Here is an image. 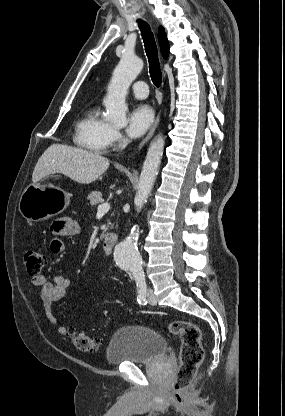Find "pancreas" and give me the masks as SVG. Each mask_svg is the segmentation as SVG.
<instances>
[{
  "mask_svg": "<svg viewBox=\"0 0 285 416\" xmlns=\"http://www.w3.org/2000/svg\"><path fill=\"white\" fill-rule=\"evenodd\" d=\"M87 200H90V204H92V206H96V204H102V202H104L101 192H92V194H89V196H87ZM111 216H113V214H111ZM108 228L109 226L105 228L103 234H101L100 236V240H103V238H105Z\"/></svg>",
  "mask_w": 285,
  "mask_h": 416,
  "instance_id": "obj_1",
  "label": "pancreas"
}]
</instances>
